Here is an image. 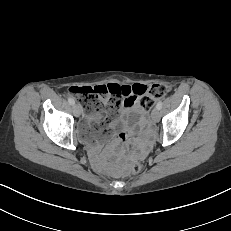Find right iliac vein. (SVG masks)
Listing matches in <instances>:
<instances>
[{"mask_svg":"<svg viewBox=\"0 0 231 231\" xmlns=\"http://www.w3.org/2000/svg\"><path fill=\"white\" fill-rule=\"evenodd\" d=\"M73 112L76 117L81 115V107L78 104L73 105Z\"/></svg>","mask_w":231,"mask_h":231,"instance_id":"63e3f726","label":"right iliac vein"}]
</instances>
